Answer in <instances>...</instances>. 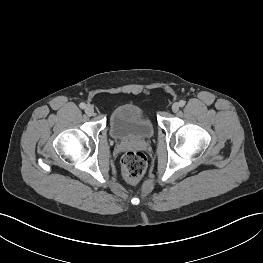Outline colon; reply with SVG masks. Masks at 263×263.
Here are the masks:
<instances>
[{"label": "colon", "mask_w": 263, "mask_h": 263, "mask_svg": "<svg viewBox=\"0 0 263 263\" xmlns=\"http://www.w3.org/2000/svg\"><path fill=\"white\" fill-rule=\"evenodd\" d=\"M147 159L144 153L136 150L127 151L122 157L121 172L129 184H136L146 172Z\"/></svg>", "instance_id": "obj_1"}]
</instances>
